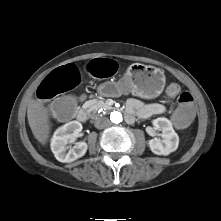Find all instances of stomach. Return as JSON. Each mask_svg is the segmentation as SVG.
Listing matches in <instances>:
<instances>
[{
	"instance_id": "0dacf381",
	"label": "stomach",
	"mask_w": 221,
	"mask_h": 221,
	"mask_svg": "<svg viewBox=\"0 0 221 221\" xmlns=\"http://www.w3.org/2000/svg\"><path fill=\"white\" fill-rule=\"evenodd\" d=\"M114 94L130 93L152 99L159 96L165 86L164 71L151 65L131 64L119 81L111 82Z\"/></svg>"
}]
</instances>
